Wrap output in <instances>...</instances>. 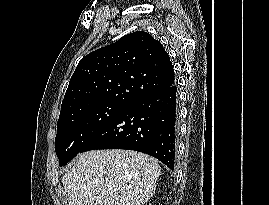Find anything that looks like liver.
<instances>
[{
    "instance_id": "1",
    "label": "liver",
    "mask_w": 269,
    "mask_h": 205,
    "mask_svg": "<svg viewBox=\"0 0 269 205\" xmlns=\"http://www.w3.org/2000/svg\"><path fill=\"white\" fill-rule=\"evenodd\" d=\"M160 174L158 162L143 153L92 150L79 155L62 183L68 205H143L154 195Z\"/></svg>"
}]
</instances>
